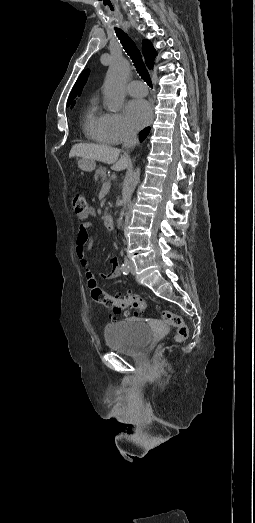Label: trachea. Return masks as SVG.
I'll return each mask as SVG.
<instances>
[{"mask_svg":"<svg viewBox=\"0 0 255 523\" xmlns=\"http://www.w3.org/2000/svg\"><path fill=\"white\" fill-rule=\"evenodd\" d=\"M114 30L117 37L121 41L124 50L130 56L132 62L134 63L137 72L147 83V85H149V87L152 88V80L150 78L147 68L145 67L142 55L139 49L137 48L135 42L127 35V33L123 32V30H121L120 28H115Z\"/></svg>","mask_w":255,"mask_h":523,"instance_id":"obj_1","label":"trachea"}]
</instances>
